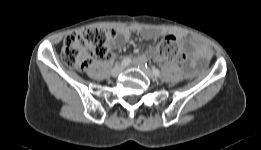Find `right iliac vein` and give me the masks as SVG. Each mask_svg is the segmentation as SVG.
<instances>
[{"label":"right iliac vein","mask_w":261,"mask_h":150,"mask_svg":"<svg viewBox=\"0 0 261 150\" xmlns=\"http://www.w3.org/2000/svg\"><path fill=\"white\" fill-rule=\"evenodd\" d=\"M123 71V66H115L112 71L111 74L113 77H117L119 76Z\"/></svg>","instance_id":"right-iliac-vein-1"}]
</instances>
